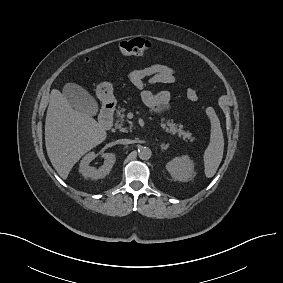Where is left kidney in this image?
<instances>
[{
    "instance_id": "obj_1",
    "label": "left kidney",
    "mask_w": 283,
    "mask_h": 283,
    "mask_svg": "<svg viewBox=\"0 0 283 283\" xmlns=\"http://www.w3.org/2000/svg\"><path fill=\"white\" fill-rule=\"evenodd\" d=\"M166 169L175 180L186 181L194 176V165L187 155L175 157L167 163Z\"/></svg>"
}]
</instances>
